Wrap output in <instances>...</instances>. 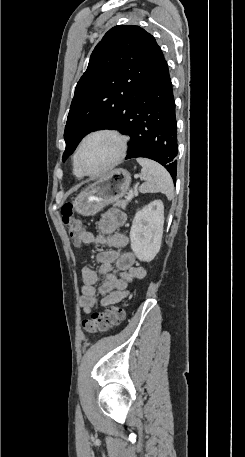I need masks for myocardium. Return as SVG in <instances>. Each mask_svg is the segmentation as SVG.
<instances>
[{"label": "myocardium", "mask_w": 245, "mask_h": 457, "mask_svg": "<svg viewBox=\"0 0 245 457\" xmlns=\"http://www.w3.org/2000/svg\"><path fill=\"white\" fill-rule=\"evenodd\" d=\"M98 135H110L117 140L118 145L116 146V154H115L114 158L110 161V163H108L102 169L97 170L95 172H88L82 167L81 162H80V156H81L82 150L85 146V143L90 138H92L94 136H98ZM126 151H127V139L123 134H121L119 131H117L115 129H108V128L97 129V130H94V131L88 133L82 139V141L76 151V154H75V163H76L79 171L82 173V175L96 177V176H99V175L107 172L108 170L112 169L114 166H116L124 158V156L126 155Z\"/></svg>", "instance_id": "obj_1"}]
</instances>
